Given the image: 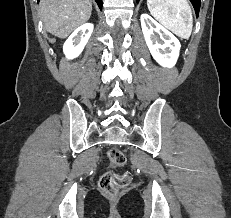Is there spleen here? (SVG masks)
<instances>
[{
    "label": "spleen",
    "instance_id": "1",
    "mask_svg": "<svg viewBox=\"0 0 231 218\" xmlns=\"http://www.w3.org/2000/svg\"><path fill=\"white\" fill-rule=\"evenodd\" d=\"M150 13L177 36L188 39L193 17L187 0H147Z\"/></svg>",
    "mask_w": 231,
    "mask_h": 218
}]
</instances>
